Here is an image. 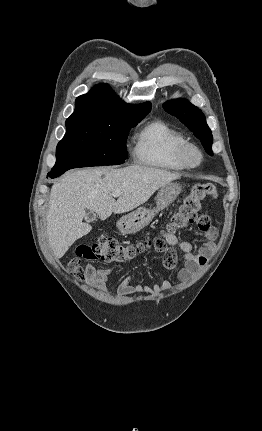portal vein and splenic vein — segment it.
Returning <instances> with one entry per match:
<instances>
[{"label":"portal vein and splenic vein","mask_w":262,"mask_h":431,"mask_svg":"<svg viewBox=\"0 0 262 431\" xmlns=\"http://www.w3.org/2000/svg\"><path fill=\"white\" fill-rule=\"evenodd\" d=\"M111 195L113 197H119L121 195V192L120 191H114Z\"/></svg>","instance_id":"portal-vein-and-splenic-vein-1"}]
</instances>
